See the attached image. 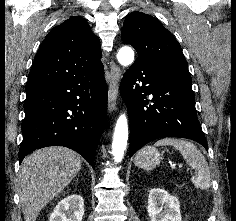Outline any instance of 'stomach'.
Returning <instances> with one entry per match:
<instances>
[{"label":"stomach","mask_w":236,"mask_h":221,"mask_svg":"<svg viewBox=\"0 0 236 221\" xmlns=\"http://www.w3.org/2000/svg\"><path fill=\"white\" fill-rule=\"evenodd\" d=\"M162 154L152 146H146L142 148L135 156L134 163L137 167L152 170L161 161Z\"/></svg>","instance_id":"stomach-1"}]
</instances>
